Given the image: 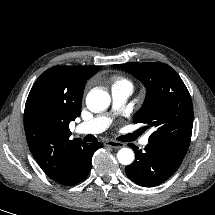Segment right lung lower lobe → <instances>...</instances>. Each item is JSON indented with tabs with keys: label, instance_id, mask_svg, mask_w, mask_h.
Segmentation results:
<instances>
[{
	"label": "right lung lower lobe",
	"instance_id": "obj_1",
	"mask_svg": "<svg viewBox=\"0 0 215 215\" xmlns=\"http://www.w3.org/2000/svg\"><path fill=\"white\" fill-rule=\"evenodd\" d=\"M102 147V143H94L89 145L85 144L80 148L73 158V172L69 179L62 185L72 186L85 179L91 170V159L94 152Z\"/></svg>",
	"mask_w": 215,
	"mask_h": 215
}]
</instances>
